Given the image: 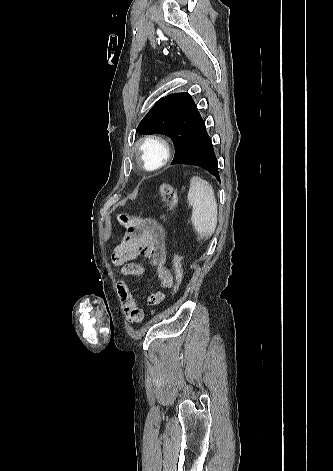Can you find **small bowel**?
Wrapping results in <instances>:
<instances>
[{
    "label": "small bowel",
    "mask_w": 333,
    "mask_h": 471,
    "mask_svg": "<svg viewBox=\"0 0 333 471\" xmlns=\"http://www.w3.org/2000/svg\"><path fill=\"white\" fill-rule=\"evenodd\" d=\"M120 220L127 230L122 242L113 249L111 254L112 264L120 267V279L115 283V292L119 297L126 319L132 324H137L143 321L145 314L138 307L131 290L122 278L125 276H142L145 274L146 268L140 263L130 261L138 255H142L156 271L162 289L172 288L174 279L165 266L166 233L164 228L157 221L150 218L130 219L125 215H121ZM165 299V293L157 291L148 296L147 303L150 306H157L163 303Z\"/></svg>",
    "instance_id": "obj_1"
}]
</instances>
